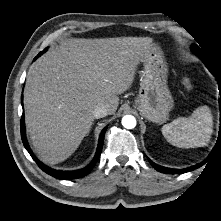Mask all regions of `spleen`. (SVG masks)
<instances>
[{
    "label": "spleen",
    "mask_w": 221,
    "mask_h": 221,
    "mask_svg": "<svg viewBox=\"0 0 221 221\" xmlns=\"http://www.w3.org/2000/svg\"><path fill=\"white\" fill-rule=\"evenodd\" d=\"M213 118L207 106L198 107L189 117H179L163 125L162 134L179 148L203 147L210 141Z\"/></svg>",
    "instance_id": "3e777b00"
}]
</instances>
